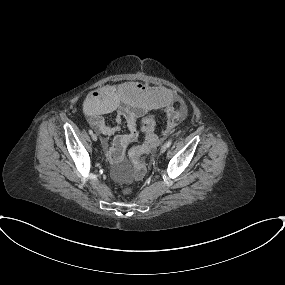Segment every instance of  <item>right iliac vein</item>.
Segmentation results:
<instances>
[{
  "label": "right iliac vein",
  "instance_id": "right-iliac-vein-1",
  "mask_svg": "<svg viewBox=\"0 0 285 285\" xmlns=\"http://www.w3.org/2000/svg\"><path fill=\"white\" fill-rule=\"evenodd\" d=\"M91 138H92L93 141H97V139H98L96 134H92Z\"/></svg>",
  "mask_w": 285,
  "mask_h": 285
}]
</instances>
